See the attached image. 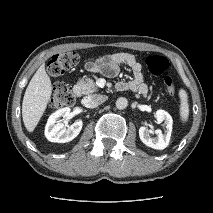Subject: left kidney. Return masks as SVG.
Here are the masks:
<instances>
[{"instance_id":"obj_1","label":"left kidney","mask_w":213,"mask_h":213,"mask_svg":"<svg viewBox=\"0 0 213 213\" xmlns=\"http://www.w3.org/2000/svg\"><path fill=\"white\" fill-rule=\"evenodd\" d=\"M156 119L158 122H164L166 125L165 133H162L160 129L155 131L157 135L156 138L150 137L149 133L151 132L145 126L139 128V137L140 140L148 147L163 150L165 149L170 141L171 132H172V124L173 120L171 115L164 111V110H157L156 111Z\"/></svg>"}]
</instances>
